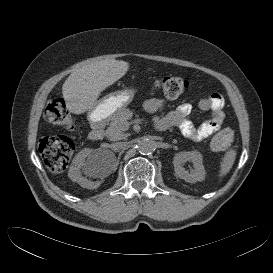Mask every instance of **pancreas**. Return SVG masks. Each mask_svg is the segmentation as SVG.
<instances>
[{
  "instance_id": "1",
  "label": "pancreas",
  "mask_w": 273,
  "mask_h": 273,
  "mask_svg": "<svg viewBox=\"0 0 273 273\" xmlns=\"http://www.w3.org/2000/svg\"><path fill=\"white\" fill-rule=\"evenodd\" d=\"M132 114V111L124 108L111 118L109 127L106 130V137L110 141L122 140L127 137L124 131L128 129V120L132 117Z\"/></svg>"
}]
</instances>
